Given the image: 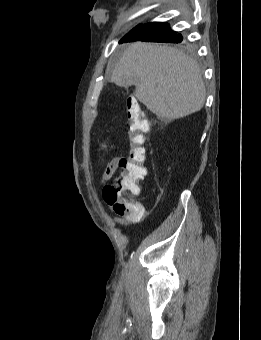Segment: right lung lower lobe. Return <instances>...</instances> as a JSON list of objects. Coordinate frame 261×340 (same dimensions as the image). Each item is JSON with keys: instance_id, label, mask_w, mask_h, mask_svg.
Returning <instances> with one entry per match:
<instances>
[{"instance_id": "98d812e1", "label": "right lung lower lobe", "mask_w": 261, "mask_h": 340, "mask_svg": "<svg viewBox=\"0 0 261 340\" xmlns=\"http://www.w3.org/2000/svg\"><path fill=\"white\" fill-rule=\"evenodd\" d=\"M177 32L171 30L169 25L161 22H152L139 25L124 36L120 42L148 41L168 43Z\"/></svg>"}]
</instances>
